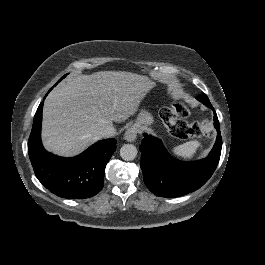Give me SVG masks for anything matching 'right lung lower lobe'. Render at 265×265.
<instances>
[{
	"label": "right lung lower lobe",
	"instance_id": "1",
	"mask_svg": "<svg viewBox=\"0 0 265 265\" xmlns=\"http://www.w3.org/2000/svg\"><path fill=\"white\" fill-rule=\"evenodd\" d=\"M42 109L43 102L36 111L28 141L36 177L46 189L62 198L85 199L96 195L104 185L105 166L116 149V140L99 141L73 158L53 155L41 142Z\"/></svg>",
	"mask_w": 265,
	"mask_h": 265
}]
</instances>
